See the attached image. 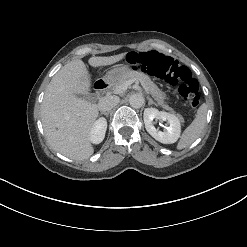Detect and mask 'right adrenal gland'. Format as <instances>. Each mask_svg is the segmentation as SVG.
Segmentation results:
<instances>
[{
  "instance_id": "obj_1",
  "label": "right adrenal gland",
  "mask_w": 247,
  "mask_h": 247,
  "mask_svg": "<svg viewBox=\"0 0 247 247\" xmlns=\"http://www.w3.org/2000/svg\"><path fill=\"white\" fill-rule=\"evenodd\" d=\"M101 114L105 115L106 117H108L109 112H101Z\"/></svg>"
}]
</instances>
